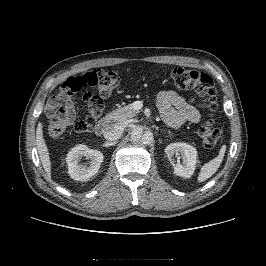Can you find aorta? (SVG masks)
Listing matches in <instances>:
<instances>
[{"mask_svg": "<svg viewBox=\"0 0 266 266\" xmlns=\"http://www.w3.org/2000/svg\"><path fill=\"white\" fill-rule=\"evenodd\" d=\"M153 133L151 131H144L141 126H136L131 131V140L133 142H141L145 145L153 141Z\"/></svg>", "mask_w": 266, "mask_h": 266, "instance_id": "762f6f07", "label": "aorta"}]
</instances>
